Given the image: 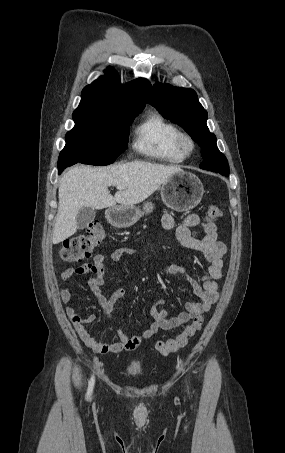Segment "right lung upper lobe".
<instances>
[{"label": "right lung upper lobe", "instance_id": "cb5924a9", "mask_svg": "<svg viewBox=\"0 0 285 453\" xmlns=\"http://www.w3.org/2000/svg\"><path fill=\"white\" fill-rule=\"evenodd\" d=\"M105 73V76L83 89L78 108L116 112L142 111L151 88L149 81L139 78L122 85L113 67H108Z\"/></svg>", "mask_w": 285, "mask_h": 453}]
</instances>
